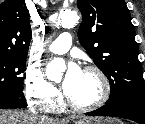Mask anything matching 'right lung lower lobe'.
Returning <instances> with one entry per match:
<instances>
[{"label":"right lung lower lobe","instance_id":"1","mask_svg":"<svg viewBox=\"0 0 145 124\" xmlns=\"http://www.w3.org/2000/svg\"><path fill=\"white\" fill-rule=\"evenodd\" d=\"M25 107H27V103L23 91L0 90V109Z\"/></svg>","mask_w":145,"mask_h":124}]
</instances>
